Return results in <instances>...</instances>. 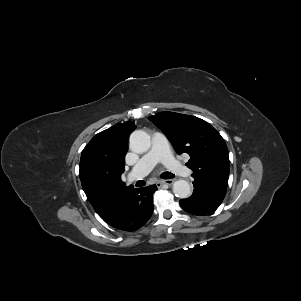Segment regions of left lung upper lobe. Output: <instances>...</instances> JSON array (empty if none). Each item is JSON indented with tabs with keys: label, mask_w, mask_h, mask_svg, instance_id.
Here are the masks:
<instances>
[{
	"label": "left lung upper lobe",
	"mask_w": 301,
	"mask_h": 301,
	"mask_svg": "<svg viewBox=\"0 0 301 301\" xmlns=\"http://www.w3.org/2000/svg\"><path fill=\"white\" fill-rule=\"evenodd\" d=\"M148 119L162 130L178 154H189L192 177L227 188L228 149L215 128L195 116L174 112H160Z\"/></svg>",
	"instance_id": "1"
}]
</instances>
